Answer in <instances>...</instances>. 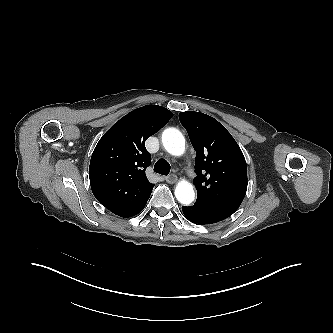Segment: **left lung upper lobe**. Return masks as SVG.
I'll return each instance as SVG.
<instances>
[{
  "label": "left lung upper lobe",
  "instance_id": "left-lung-upper-lobe-1",
  "mask_svg": "<svg viewBox=\"0 0 333 333\" xmlns=\"http://www.w3.org/2000/svg\"><path fill=\"white\" fill-rule=\"evenodd\" d=\"M196 150L194 184L197 201L232 215L247 191L244 155L226 128L216 119L194 111L179 114Z\"/></svg>",
  "mask_w": 333,
  "mask_h": 333
}]
</instances>
